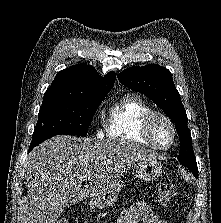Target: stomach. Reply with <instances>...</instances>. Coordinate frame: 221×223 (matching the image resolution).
Masks as SVG:
<instances>
[{"label":"stomach","mask_w":221,"mask_h":223,"mask_svg":"<svg viewBox=\"0 0 221 223\" xmlns=\"http://www.w3.org/2000/svg\"><path fill=\"white\" fill-rule=\"evenodd\" d=\"M162 173V165L154 159H141L138 162L136 169V176L146 181L156 180ZM123 185L117 183L110 189L103 193L92 197L89 206L90 209L105 208L112 206L118 199L119 193L121 192Z\"/></svg>","instance_id":"stomach-1"}]
</instances>
